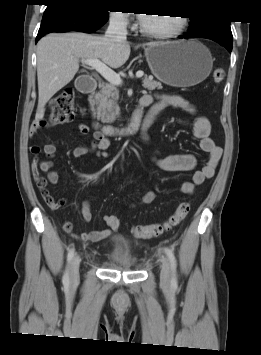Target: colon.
<instances>
[{
  "mask_svg": "<svg viewBox=\"0 0 261 355\" xmlns=\"http://www.w3.org/2000/svg\"><path fill=\"white\" fill-rule=\"evenodd\" d=\"M225 77V70L217 68L213 72V80L219 84ZM74 93L69 87L60 90L50 102V113L46 120H38L37 124L40 127L47 125H61L71 122L74 119ZM190 211V202L184 201L179 204L177 209L164 222L135 225L132 228V233L137 238L150 239L158 237L176 226H178L188 215Z\"/></svg>",
  "mask_w": 261,
  "mask_h": 355,
  "instance_id": "5ec220e1",
  "label": "colon"
}]
</instances>
